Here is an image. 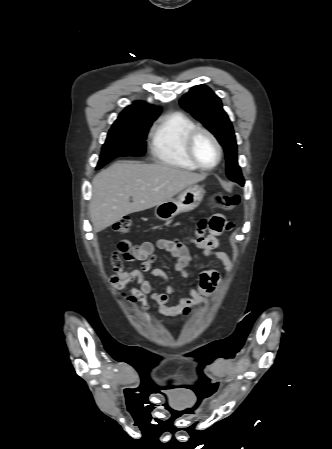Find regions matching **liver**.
<instances>
[{"instance_id": "6515ba94", "label": "liver", "mask_w": 332, "mask_h": 449, "mask_svg": "<svg viewBox=\"0 0 332 449\" xmlns=\"http://www.w3.org/2000/svg\"><path fill=\"white\" fill-rule=\"evenodd\" d=\"M205 178V174L164 163L118 161L92 181L89 215L94 230L99 232L130 213L162 204Z\"/></svg>"}]
</instances>
